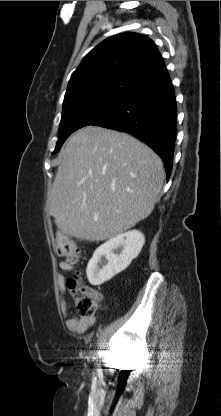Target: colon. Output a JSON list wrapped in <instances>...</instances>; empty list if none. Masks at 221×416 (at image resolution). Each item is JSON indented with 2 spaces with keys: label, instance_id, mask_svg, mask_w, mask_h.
<instances>
[{
  "label": "colon",
  "instance_id": "5ec220e1",
  "mask_svg": "<svg viewBox=\"0 0 221 416\" xmlns=\"http://www.w3.org/2000/svg\"><path fill=\"white\" fill-rule=\"evenodd\" d=\"M56 252L69 263H77L80 259V250L77 244L64 233L57 235ZM69 291L74 299L76 312L80 317H92L96 311L99 294L83 286L77 276L67 282Z\"/></svg>",
  "mask_w": 221,
  "mask_h": 416
}]
</instances>
